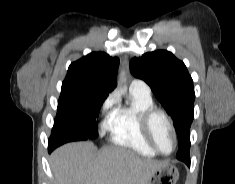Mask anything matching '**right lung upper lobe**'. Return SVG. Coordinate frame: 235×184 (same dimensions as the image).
<instances>
[{
	"label": "right lung upper lobe",
	"instance_id": "1",
	"mask_svg": "<svg viewBox=\"0 0 235 184\" xmlns=\"http://www.w3.org/2000/svg\"><path fill=\"white\" fill-rule=\"evenodd\" d=\"M119 59L104 52H92L71 63L61 91L95 89L99 91L93 102L103 103L117 86Z\"/></svg>",
	"mask_w": 235,
	"mask_h": 184
}]
</instances>
